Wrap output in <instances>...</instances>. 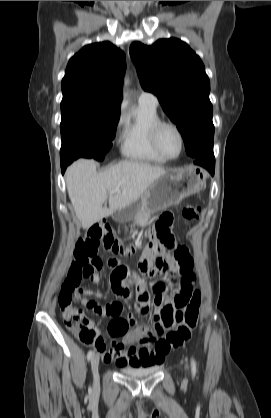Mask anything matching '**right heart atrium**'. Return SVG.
Returning <instances> with one entry per match:
<instances>
[{
  "label": "right heart atrium",
  "instance_id": "obj_1",
  "mask_svg": "<svg viewBox=\"0 0 271 418\" xmlns=\"http://www.w3.org/2000/svg\"><path fill=\"white\" fill-rule=\"evenodd\" d=\"M121 121H122V118L120 117V119H119V123H121Z\"/></svg>",
  "mask_w": 271,
  "mask_h": 418
}]
</instances>
